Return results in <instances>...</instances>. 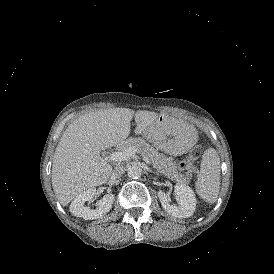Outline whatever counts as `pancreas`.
I'll use <instances>...</instances> for the list:
<instances>
[{
    "mask_svg": "<svg viewBox=\"0 0 274 274\" xmlns=\"http://www.w3.org/2000/svg\"><path fill=\"white\" fill-rule=\"evenodd\" d=\"M127 147H132L135 149V153L147 157L153 164V167L157 169L159 173L164 174L167 178L182 184H188L190 182L189 175L184 176L181 172L177 171V165L173 162L171 157H167L164 154L159 153L143 139L130 138L126 140L122 146L123 149Z\"/></svg>",
    "mask_w": 274,
    "mask_h": 274,
    "instance_id": "cf45deb5",
    "label": "pancreas"
}]
</instances>
